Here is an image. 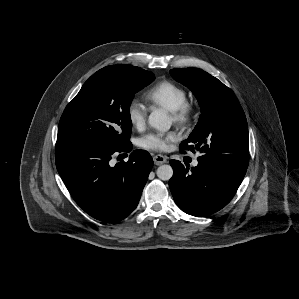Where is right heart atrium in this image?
Returning a JSON list of instances; mask_svg holds the SVG:
<instances>
[{
	"label": "right heart atrium",
	"mask_w": 299,
	"mask_h": 299,
	"mask_svg": "<svg viewBox=\"0 0 299 299\" xmlns=\"http://www.w3.org/2000/svg\"><path fill=\"white\" fill-rule=\"evenodd\" d=\"M126 117L128 122L135 129L144 128L147 117L145 106L138 99H131L126 107Z\"/></svg>",
	"instance_id": "1"
}]
</instances>
